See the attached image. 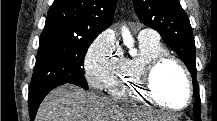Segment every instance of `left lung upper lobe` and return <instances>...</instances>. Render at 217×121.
Segmentation results:
<instances>
[{"instance_id": "1", "label": "left lung upper lobe", "mask_w": 217, "mask_h": 121, "mask_svg": "<svg viewBox=\"0 0 217 121\" xmlns=\"http://www.w3.org/2000/svg\"><path fill=\"white\" fill-rule=\"evenodd\" d=\"M140 21L155 29L165 44L175 51L193 78L194 116L201 121V101L196 80L195 42L189 18L178 0H133Z\"/></svg>"}]
</instances>
